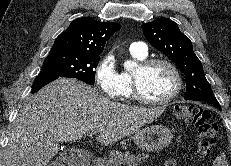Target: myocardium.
I'll return each mask as SVG.
<instances>
[{"label": "myocardium", "instance_id": "f54148a6", "mask_svg": "<svg viewBox=\"0 0 231 166\" xmlns=\"http://www.w3.org/2000/svg\"><path fill=\"white\" fill-rule=\"evenodd\" d=\"M164 65L170 69L174 76L175 80V86L173 91L164 99H159V100H153L145 97L139 86V81H138V76L134 72L131 75V82H132V96L134 99L137 101L146 104V105H152V106H164L169 103H171L181 92L182 86H183V79L180 70L178 67L169 59L166 58H150V59H145L143 61H140L137 66V71H144L154 65Z\"/></svg>", "mask_w": 231, "mask_h": 166}]
</instances>
